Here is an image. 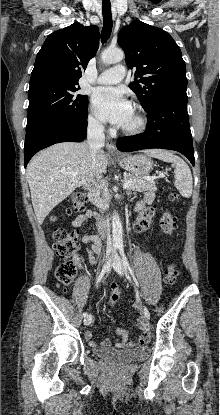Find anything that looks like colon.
Listing matches in <instances>:
<instances>
[{"label": "colon", "mask_w": 220, "mask_h": 415, "mask_svg": "<svg viewBox=\"0 0 220 415\" xmlns=\"http://www.w3.org/2000/svg\"><path fill=\"white\" fill-rule=\"evenodd\" d=\"M175 196L172 195V198ZM88 202V196L84 191H76L70 195V203L66 209L67 214H71L74 212L82 211ZM143 214L145 216H153L154 215V208L147 207ZM57 218L54 216L52 217V221H56ZM161 230L165 234H171L176 228V220L175 218L169 214L165 213L160 222ZM53 239L55 241L54 248L61 258V263L58 265L56 269V278L59 284L66 288L68 287L74 280L77 271V265L75 262V254L79 248V237L78 233L75 231H67L62 228H55L53 230ZM178 279V271L176 267L171 264L166 268L165 271V282L167 285H173L176 283ZM120 299V294L117 292H112L109 297L108 303L111 307L115 306ZM144 340L150 338L149 333H144L142 335Z\"/></svg>", "instance_id": "5ec220e1"}]
</instances>
